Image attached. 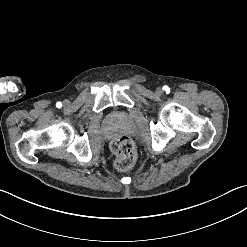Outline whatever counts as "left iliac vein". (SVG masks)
I'll list each match as a JSON object with an SVG mask.
<instances>
[{
    "mask_svg": "<svg viewBox=\"0 0 247 247\" xmlns=\"http://www.w3.org/2000/svg\"><path fill=\"white\" fill-rule=\"evenodd\" d=\"M156 94H157L158 96H161V95L163 94V89H162V88H157Z\"/></svg>",
    "mask_w": 247,
    "mask_h": 247,
    "instance_id": "1",
    "label": "left iliac vein"
}]
</instances>
